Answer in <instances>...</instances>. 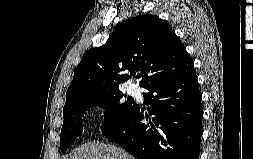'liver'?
Returning a JSON list of instances; mask_svg holds the SVG:
<instances>
[{"instance_id":"obj_1","label":"liver","mask_w":253,"mask_h":159,"mask_svg":"<svg viewBox=\"0 0 253 159\" xmlns=\"http://www.w3.org/2000/svg\"><path fill=\"white\" fill-rule=\"evenodd\" d=\"M66 159H135L123 148L100 142H89L75 149Z\"/></svg>"}]
</instances>
